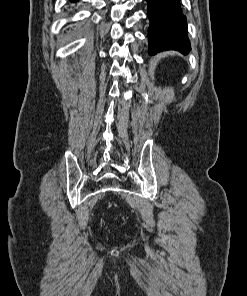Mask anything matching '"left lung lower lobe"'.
<instances>
[{"label": "left lung lower lobe", "mask_w": 247, "mask_h": 296, "mask_svg": "<svg viewBox=\"0 0 247 296\" xmlns=\"http://www.w3.org/2000/svg\"><path fill=\"white\" fill-rule=\"evenodd\" d=\"M148 3L149 54L177 50L188 54L191 47L187 36L186 17L180 0H146Z\"/></svg>", "instance_id": "0a47b994"}]
</instances>
